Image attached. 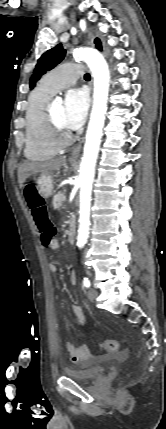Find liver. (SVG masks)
Returning a JSON list of instances; mask_svg holds the SVG:
<instances>
[{
	"instance_id": "obj_1",
	"label": "liver",
	"mask_w": 166,
	"mask_h": 429,
	"mask_svg": "<svg viewBox=\"0 0 166 429\" xmlns=\"http://www.w3.org/2000/svg\"><path fill=\"white\" fill-rule=\"evenodd\" d=\"M65 157L56 158L47 162H24L18 168V182L20 188L25 180L35 174L50 175L53 171L59 170L65 163Z\"/></svg>"
}]
</instances>
